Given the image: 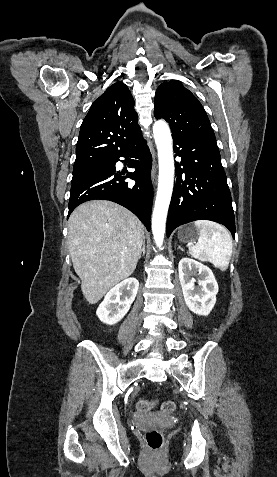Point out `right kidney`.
I'll list each match as a JSON object with an SVG mask.
<instances>
[{
  "mask_svg": "<svg viewBox=\"0 0 277 477\" xmlns=\"http://www.w3.org/2000/svg\"><path fill=\"white\" fill-rule=\"evenodd\" d=\"M139 282L136 278H127L114 286L99 305L96 315L105 324L118 323L129 311L135 300Z\"/></svg>",
  "mask_w": 277,
  "mask_h": 477,
  "instance_id": "1",
  "label": "right kidney"
}]
</instances>
